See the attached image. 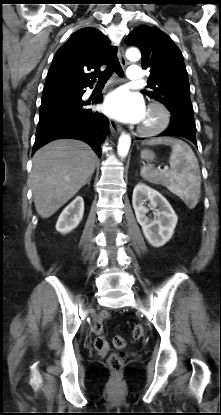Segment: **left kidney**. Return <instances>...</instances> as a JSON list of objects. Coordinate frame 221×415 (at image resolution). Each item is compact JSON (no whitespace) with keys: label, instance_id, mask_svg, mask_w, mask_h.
<instances>
[{"label":"left kidney","instance_id":"5707ae66","mask_svg":"<svg viewBox=\"0 0 221 415\" xmlns=\"http://www.w3.org/2000/svg\"><path fill=\"white\" fill-rule=\"evenodd\" d=\"M149 200L156 209L157 218L152 220L146 216L148 209L144 206ZM132 204L138 223L142 227L144 236L154 247L165 245L172 237L178 218L170 203L158 191L139 183L135 186Z\"/></svg>","mask_w":221,"mask_h":415}]
</instances>
